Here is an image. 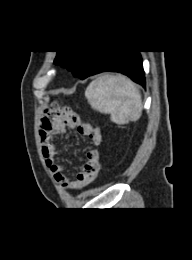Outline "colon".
<instances>
[{
	"instance_id": "5ec220e1",
	"label": "colon",
	"mask_w": 192,
	"mask_h": 260,
	"mask_svg": "<svg viewBox=\"0 0 192 260\" xmlns=\"http://www.w3.org/2000/svg\"><path fill=\"white\" fill-rule=\"evenodd\" d=\"M66 108L59 107L58 105L54 104L50 109L47 110V118L54 117V116H64L67 114Z\"/></svg>"
}]
</instances>
